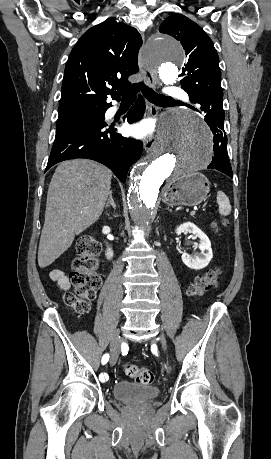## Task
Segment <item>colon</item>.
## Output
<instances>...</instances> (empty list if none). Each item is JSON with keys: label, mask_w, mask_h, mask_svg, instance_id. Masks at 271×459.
Wrapping results in <instances>:
<instances>
[{"label": "colon", "mask_w": 271, "mask_h": 459, "mask_svg": "<svg viewBox=\"0 0 271 459\" xmlns=\"http://www.w3.org/2000/svg\"><path fill=\"white\" fill-rule=\"evenodd\" d=\"M225 224V221L222 222ZM99 243L90 235L82 234L76 243V257L72 263L70 278L74 290L67 292L64 301L77 315L86 314L90 303L95 298L101 279L97 273L99 266ZM221 274L220 268H214L197 276L188 287V294L198 296L215 287ZM125 372L136 382L147 385L154 380L153 373L146 368L134 364H126Z\"/></svg>", "instance_id": "1"}]
</instances>
